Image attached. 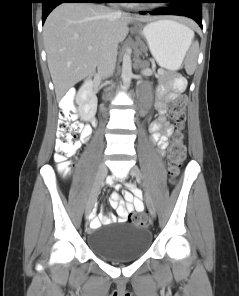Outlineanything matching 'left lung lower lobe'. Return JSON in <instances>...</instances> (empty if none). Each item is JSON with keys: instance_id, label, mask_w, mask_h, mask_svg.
<instances>
[{"instance_id": "left-lung-lower-lobe-1", "label": "left lung lower lobe", "mask_w": 239, "mask_h": 296, "mask_svg": "<svg viewBox=\"0 0 239 296\" xmlns=\"http://www.w3.org/2000/svg\"><path fill=\"white\" fill-rule=\"evenodd\" d=\"M170 3H179V6H173L168 8H160L149 12L152 15H179L192 18L197 24L202 27V0H174ZM145 14L146 12H140Z\"/></svg>"}]
</instances>
